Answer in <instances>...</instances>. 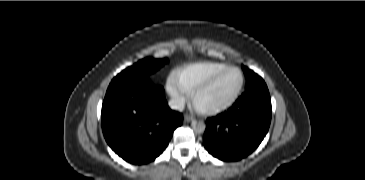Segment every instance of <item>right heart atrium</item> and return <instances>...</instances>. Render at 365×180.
Listing matches in <instances>:
<instances>
[{
  "instance_id": "obj_1",
  "label": "right heart atrium",
  "mask_w": 365,
  "mask_h": 180,
  "mask_svg": "<svg viewBox=\"0 0 365 180\" xmlns=\"http://www.w3.org/2000/svg\"><path fill=\"white\" fill-rule=\"evenodd\" d=\"M166 89L176 106H182L187 101L188 94L180 85L176 73L169 75Z\"/></svg>"
}]
</instances>
